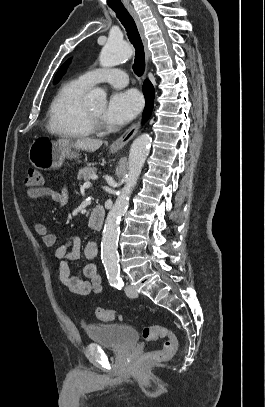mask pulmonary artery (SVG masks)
Here are the masks:
<instances>
[{"instance_id": "1", "label": "pulmonary artery", "mask_w": 265, "mask_h": 407, "mask_svg": "<svg viewBox=\"0 0 265 407\" xmlns=\"http://www.w3.org/2000/svg\"><path fill=\"white\" fill-rule=\"evenodd\" d=\"M79 79L89 87L102 82L117 88L128 84L127 74L120 69H92L80 75Z\"/></svg>"}]
</instances>
